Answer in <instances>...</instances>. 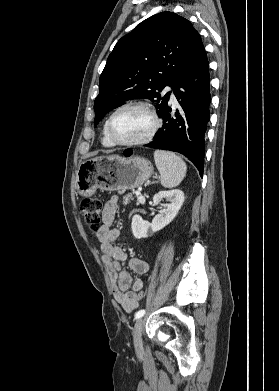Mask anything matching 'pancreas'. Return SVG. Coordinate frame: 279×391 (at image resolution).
<instances>
[{"mask_svg": "<svg viewBox=\"0 0 279 391\" xmlns=\"http://www.w3.org/2000/svg\"><path fill=\"white\" fill-rule=\"evenodd\" d=\"M119 194H122V192H119ZM130 200H133L132 193H129L123 197V203L126 205L130 202Z\"/></svg>", "mask_w": 279, "mask_h": 391, "instance_id": "cf45deb5", "label": "pancreas"}]
</instances>
